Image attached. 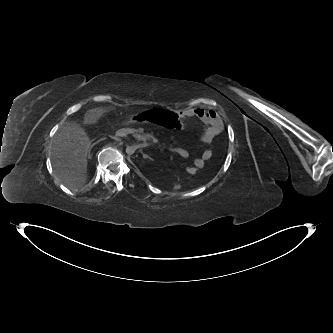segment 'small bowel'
Here are the masks:
<instances>
[{"instance_id": "obj_1", "label": "small bowel", "mask_w": 333, "mask_h": 333, "mask_svg": "<svg viewBox=\"0 0 333 333\" xmlns=\"http://www.w3.org/2000/svg\"><path fill=\"white\" fill-rule=\"evenodd\" d=\"M174 113V112H173ZM180 119L193 117L202 120L206 124V128L202 134L201 140L205 143H210L215 137H217L222 129L221 120L217 112L213 109H204L201 107L187 109L180 114L175 113ZM178 123V124H179ZM173 151L182 158H187L189 153L187 150L181 147H176ZM213 156L212 149H206L200 156L194 159L195 168H203L205 163Z\"/></svg>"}]
</instances>
